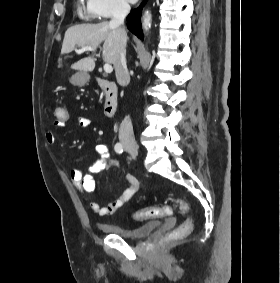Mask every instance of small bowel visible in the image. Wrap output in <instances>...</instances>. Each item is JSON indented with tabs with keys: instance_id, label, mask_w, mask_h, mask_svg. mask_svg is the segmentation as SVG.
<instances>
[{
	"instance_id": "c3829d8e",
	"label": "small bowel",
	"mask_w": 280,
	"mask_h": 283,
	"mask_svg": "<svg viewBox=\"0 0 280 283\" xmlns=\"http://www.w3.org/2000/svg\"><path fill=\"white\" fill-rule=\"evenodd\" d=\"M77 122L81 128H85L90 124L89 119L85 116H78ZM65 124L66 122L54 121V126L56 128H63ZM45 139L49 145H54L57 139L56 132L54 130H48L45 134ZM95 151L98 155V158L88 167L87 171L79 168H74L70 170L69 175L71 182L83 193L84 197L88 200L90 209L97 215L106 217L112 215L118 209L123 207L137 193L139 189V182L133 175L126 174L125 178L127 181V188L124 190L120 197L113 200L106 206H101L97 201L90 199L89 196L95 189L94 175L110 169H120L119 164L116 161L110 159L109 150L106 144H97L95 146Z\"/></svg>"
}]
</instances>
